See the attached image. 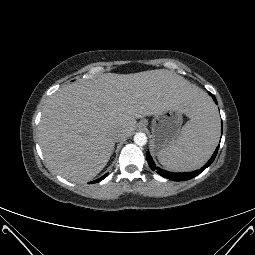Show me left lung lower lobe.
Listing matches in <instances>:
<instances>
[{
    "label": "left lung lower lobe",
    "instance_id": "1",
    "mask_svg": "<svg viewBox=\"0 0 255 255\" xmlns=\"http://www.w3.org/2000/svg\"><path fill=\"white\" fill-rule=\"evenodd\" d=\"M210 95L212 96V98L214 99V101L217 103L216 98L213 94L210 93ZM219 146L216 148L215 152L213 153L212 157L210 158V160L199 170L193 171V172H188V173H172L169 171H165L159 167H157L152 159V157L150 156L149 152H147V161L149 163L150 168L153 171H156L158 174H160L161 176L167 178V179H171L174 181H186L189 180L197 175H199L203 170H205L215 159L217 152H218Z\"/></svg>",
    "mask_w": 255,
    "mask_h": 255
}]
</instances>
